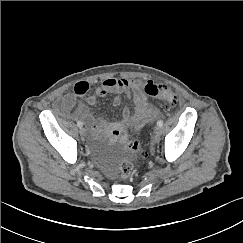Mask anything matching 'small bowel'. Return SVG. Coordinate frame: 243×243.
I'll list each match as a JSON object with an SVG mask.
<instances>
[{
    "mask_svg": "<svg viewBox=\"0 0 243 243\" xmlns=\"http://www.w3.org/2000/svg\"><path fill=\"white\" fill-rule=\"evenodd\" d=\"M109 94L113 95L114 106L121 104L123 94H127L131 100V105L124 108L119 121L94 117L86 105L76 102L77 96H83L88 105H94L99 97ZM72 107L79 117L90 121L93 133L106 135L109 142L126 141L130 130L138 131L159 116V110L144 95L142 82L127 78H106L97 88L86 81L76 83L74 93L65 95L59 102V108L63 110Z\"/></svg>",
    "mask_w": 243,
    "mask_h": 243,
    "instance_id": "1",
    "label": "small bowel"
}]
</instances>
